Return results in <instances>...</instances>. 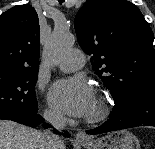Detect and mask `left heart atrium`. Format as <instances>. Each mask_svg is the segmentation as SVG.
<instances>
[{"label":"left heart atrium","mask_w":155,"mask_h":149,"mask_svg":"<svg viewBox=\"0 0 155 149\" xmlns=\"http://www.w3.org/2000/svg\"><path fill=\"white\" fill-rule=\"evenodd\" d=\"M94 94L82 78L56 82L50 90V103L71 116L81 117L89 113Z\"/></svg>","instance_id":"39dd6f15"}]
</instances>
